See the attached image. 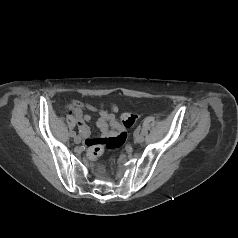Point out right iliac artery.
<instances>
[{
	"instance_id": "obj_1",
	"label": "right iliac artery",
	"mask_w": 238,
	"mask_h": 238,
	"mask_svg": "<svg viewBox=\"0 0 238 238\" xmlns=\"http://www.w3.org/2000/svg\"><path fill=\"white\" fill-rule=\"evenodd\" d=\"M71 136H72V137H75V136H76V132L73 131V132L71 133Z\"/></svg>"
}]
</instances>
